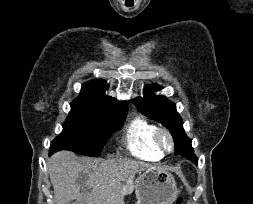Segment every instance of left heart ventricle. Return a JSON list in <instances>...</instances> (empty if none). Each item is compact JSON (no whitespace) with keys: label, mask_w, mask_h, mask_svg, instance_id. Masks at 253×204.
<instances>
[{"label":"left heart ventricle","mask_w":253,"mask_h":204,"mask_svg":"<svg viewBox=\"0 0 253 204\" xmlns=\"http://www.w3.org/2000/svg\"><path fill=\"white\" fill-rule=\"evenodd\" d=\"M165 146L168 147V142H167V140H165Z\"/></svg>","instance_id":"left-heart-ventricle-1"}]
</instances>
